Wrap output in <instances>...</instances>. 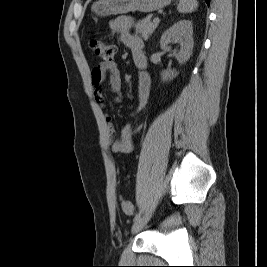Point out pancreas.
<instances>
[{
    "label": "pancreas",
    "mask_w": 267,
    "mask_h": 267,
    "mask_svg": "<svg viewBox=\"0 0 267 267\" xmlns=\"http://www.w3.org/2000/svg\"><path fill=\"white\" fill-rule=\"evenodd\" d=\"M158 23L151 22V15H148L146 18L140 20L135 24L136 33L141 34L144 40H147L150 35L157 28Z\"/></svg>",
    "instance_id": "1"
}]
</instances>
